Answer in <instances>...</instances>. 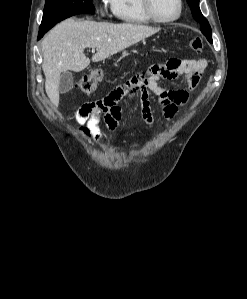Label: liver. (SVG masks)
Listing matches in <instances>:
<instances>
[{
    "label": "liver",
    "instance_id": "6515ba94",
    "mask_svg": "<svg viewBox=\"0 0 247 299\" xmlns=\"http://www.w3.org/2000/svg\"><path fill=\"white\" fill-rule=\"evenodd\" d=\"M160 29L139 24H114L66 19L43 39L42 69L45 90L51 103L59 104V78L62 72H81L90 64L86 48H96L93 62L102 61L157 33Z\"/></svg>",
    "mask_w": 247,
    "mask_h": 299
}]
</instances>
